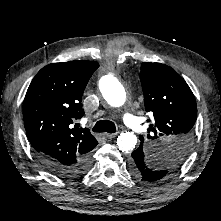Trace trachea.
<instances>
[{
  "mask_svg": "<svg viewBox=\"0 0 221 221\" xmlns=\"http://www.w3.org/2000/svg\"><path fill=\"white\" fill-rule=\"evenodd\" d=\"M93 132L115 133L116 132V126L110 120H100L93 127Z\"/></svg>",
  "mask_w": 221,
  "mask_h": 221,
  "instance_id": "trachea-1",
  "label": "trachea"
}]
</instances>
